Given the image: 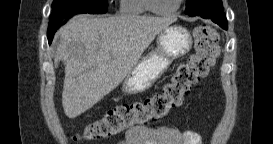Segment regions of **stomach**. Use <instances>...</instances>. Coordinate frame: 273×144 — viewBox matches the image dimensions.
Instances as JSON below:
<instances>
[{"label":"stomach","mask_w":273,"mask_h":144,"mask_svg":"<svg viewBox=\"0 0 273 144\" xmlns=\"http://www.w3.org/2000/svg\"><path fill=\"white\" fill-rule=\"evenodd\" d=\"M191 47L190 31L181 25L168 26L158 34L156 48L141 57L125 77L123 92L135 94L149 89L173 60L188 53Z\"/></svg>","instance_id":"stomach-1"}]
</instances>
